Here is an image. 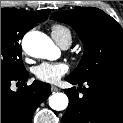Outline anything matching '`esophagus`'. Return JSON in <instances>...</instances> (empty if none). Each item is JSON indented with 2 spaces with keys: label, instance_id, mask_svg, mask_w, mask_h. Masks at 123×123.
<instances>
[{
  "label": "esophagus",
  "instance_id": "obj_1",
  "mask_svg": "<svg viewBox=\"0 0 123 123\" xmlns=\"http://www.w3.org/2000/svg\"><path fill=\"white\" fill-rule=\"evenodd\" d=\"M59 90V88L58 87H56V86H51V91L52 92H55V91H58Z\"/></svg>",
  "mask_w": 123,
  "mask_h": 123
}]
</instances>
